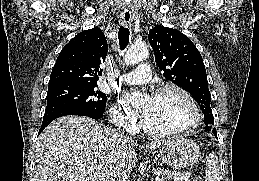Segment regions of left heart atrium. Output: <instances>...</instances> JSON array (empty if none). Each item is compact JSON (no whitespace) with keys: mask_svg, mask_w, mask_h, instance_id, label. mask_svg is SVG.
Returning <instances> with one entry per match:
<instances>
[{"mask_svg":"<svg viewBox=\"0 0 259 181\" xmlns=\"http://www.w3.org/2000/svg\"><path fill=\"white\" fill-rule=\"evenodd\" d=\"M151 101H152V97H150L148 95H145L140 100H138L135 93H132V92L125 93L121 97V102L125 106H131V105L137 104L138 112L142 116H144L147 113V111L151 105Z\"/></svg>","mask_w":259,"mask_h":181,"instance_id":"left-heart-atrium-1","label":"left heart atrium"}]
</instances>
